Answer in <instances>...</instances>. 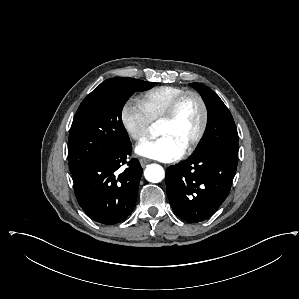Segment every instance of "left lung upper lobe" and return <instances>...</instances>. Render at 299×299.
<instances>
[{
  "mask_svg": "<svg viewBox=\"0 0 299 299\" xmlns=\"http://www.w3.org/2000/svg\"><path fill=\"white\" fill-rule=\"evenodd\" d=\"M190 85L201 94L208 110L205 134L190 158L214 151L238 157V133L226 105L209 87L200 83H191Z\"/></svg>",
  "mask_w": 299,
  "mask_h": 299,
  "instance_id": "5c2ea615",
  "label": "left lung upper lobe"
}]
</instances>
